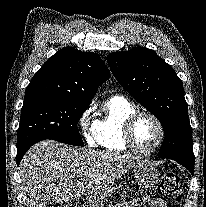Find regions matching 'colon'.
I'll return each instance as SVG.
<instances>
[{
  "label": "colon",
  "instance_id": "colon-1",
  "mask_svg": "<svg viewBox=\"0 0 206 207\" xmlns=\"http://www.w3.org/2000/svg\"><path fill=\"white\" fill-rule=\"evenodd\" d=\"M158 192L161 196L173 201H180L183 196V187L181 179L175 172H168L164 175L158 186ZM62 207H75L72 204H64Z\"/></svg>",
  "mask_w": 206,
  "mask_h": 207
}]
</instances>
